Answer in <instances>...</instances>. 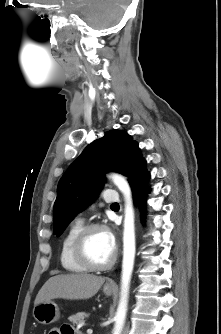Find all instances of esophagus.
Segmentation results:
<instances>
[{
    "instance_id": "esophagus-1",
    "label": "esophagus",
    "mask_w": 221,
    "mask_h": 334,
    "mask_svg": "<svg viewBox=\"0 0 221 334\" xmlns=\"http://www.w3.org/2000/svg\"><path fill=\"white\" fill-rule=\"evenodd\" d=\"M107 286L108 287H115L116 284L113 281H109V282H107Z\"/></svg>"
}]
</instances>
